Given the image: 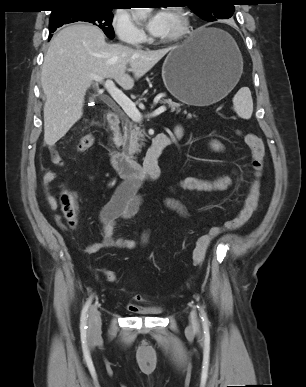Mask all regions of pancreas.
<instances>
[{
    "label": "pancreas",
    "mask_w": 306,
    "mask_h": 387,
    "mask_svg": "<svg viewBox=\"0 0 306 387\" xmlns=\"http://www.w3.org/2000/svg\"><path fill=\"white\" fill-rule=\"evenodd\" d=\"M162 104H167L171 111L180 112V104L173 102L171 99L161 100ZM189 118V117H188ZM123 135L119 137V144L122 146L123 154L132 155L141 152L143 141H145V131L128 118H123Z\"/></svg>",
    "instance_id": "pancreas-1"
}]
</instances>
